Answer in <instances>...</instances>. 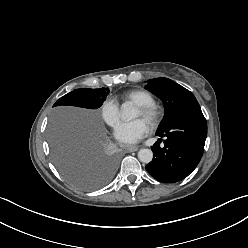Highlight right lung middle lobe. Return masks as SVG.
Returning <instances> with one entry per match:
<instances>
[{
    "mask_svg": "<svg viewBox=\"0 0 248 248\" xmlns=\"http://www.w3.org/2000/svg\"><path fill=\"white\" fill-rule=\"evenodd\" d=\"M108 93V88L76 89L58 99L54 106L97 109ZM49 142L55 166L74 186L96 190L105 186L114 176L116 160L100 154L102 135L95 120H77L69 128L56 125L50 131Z\"/></svg>",
    "mask_w": 248,
    "mask_h": 248,
    "instance_id": "obj_1",
    "label": "right lung middle lobe"
}]
</instances>
